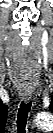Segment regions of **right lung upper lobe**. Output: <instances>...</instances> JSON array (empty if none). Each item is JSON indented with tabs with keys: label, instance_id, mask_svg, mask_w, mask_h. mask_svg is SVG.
<instances>
[{
	"label": "right lung upper lobe",
	"instance_id": "1",
	"mask_svg": "<svg viewBox=\"0 0 53 133\" xmlns=\"http://www.w3.org/2000/svg\"><path fill=\"white\" fill-rule=\"evenodd\" d=\"M7 111H8V106L4 105L2 102L0 103V122L2 126L5 125L6 120H7Z\"/></svg>",
	"mask_w": 53,
	"mask_h": 133
}]
</instances>
